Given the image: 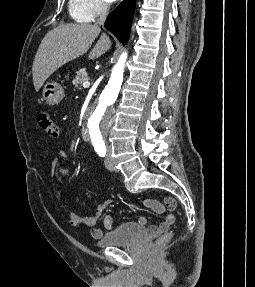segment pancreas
<instances>
[{
  "instance_id": "1",
  "label": "pancreas",
  "mask_w": 255,
  "mask_h": 287,
  "mask_svg": "<svg viewBox=\"0 0 255 287\" xmlns=\"http://www.w3.org/2000/svg\"><path fill=\"white\" fill-rule=\"evenodd\" d=\"M76 74L77 76H74L72 82L74 88H79V84H83V82H89L90 78L86 72V68H81Z\"/></svg>"
}]
</instances>
